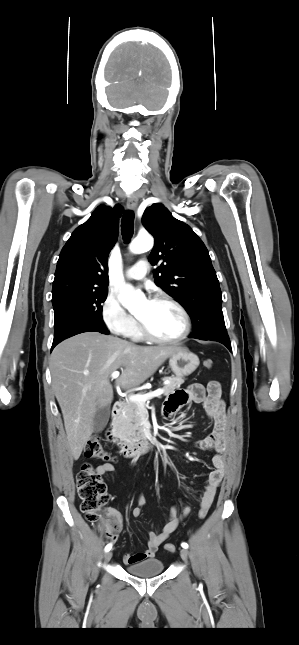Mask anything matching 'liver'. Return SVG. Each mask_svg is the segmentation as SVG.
I'll use <instances>...</instances> for the list:
<instances>
[{
  "mask_svg": "<svg viewBox=\"0 0 299 645\" xmlns=\"http://www.w3.org/2000/svg\"><path fill=\"white\" fill-rule=\"evenodd\" d=\"M181 349L176 345L137 346L98 332L76 335L55 347L50 357L52 388L75 460L92 435L97 409L113 400L110 375L121 369L116 386L135 388Z\"/></svg>",
  "mask_w": 299,
  "mask_h": 645,
  "instance_id": "obj_1",
  "label": "liver"
}]
</instances>
